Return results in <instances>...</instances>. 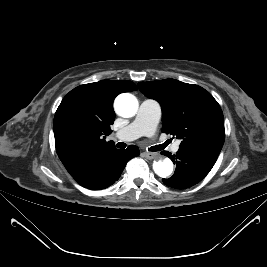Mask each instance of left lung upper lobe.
Listing matches in <instances>:
<instances>
[{
    "instance_id": "left-lung-upper-lobe-1",
    "label": "left lung upper lobe",
    "mask_w": 267,
    "mask_h": 267,
    "mask_svg": "<svg viewBox=\"0 0 267 267\" xmlns=\"http://www.w3.org/2000/svg\"><path fill=\"white\" fill-rule=\"evenodd\" d=\"M138 87L160 103L162 131L180 139V149L219 155L225 140L224 118L208 91L175 79L140 82Z\"/></svg>"
}]
</instances>
